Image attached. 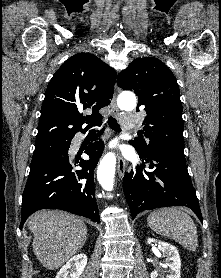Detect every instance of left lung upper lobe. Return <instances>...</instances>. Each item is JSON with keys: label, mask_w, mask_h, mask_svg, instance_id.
Here are the masks:
<instances>
[{"label": "left lung upper lobe", "mask_w": 221, "mask_h": 278, "mask_svg": "<svg viewBox=\"0 0 221 278\" xmlns=\"http://www.w3.org/2000/svg\"><path fill=\"white\" fill-rule=\"evenodd\" d=\"M117 84L138 96V105L145 106L147 116L143 133L148 142H131L138 154L147 156L158 147L184 148L182 105L175 76L159 59L137 58L119 73Z\"/></svg>", "instance_id": "obj_1"}]
</instances>
